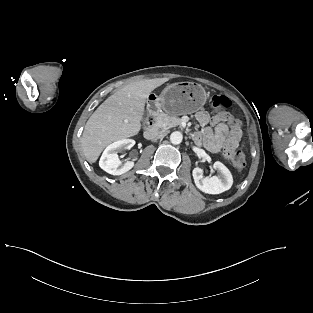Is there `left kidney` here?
I'll return each instance as SVG.
<instances>
[{"instance_id": "left-kidney-1", "label": "left kidney", "mask_w": 313, "mask_h": 313, "mask_svg": "<svg viewBox=\"0 0 313 313\" xmlns=\"http://www.w3.org/2000/svg\"><path fill=\"white\" fill-rule=\"evenodd\" d=\"M219 174L210 178H204L203 170L196 167L192 171L194 182L198 189L208 194H220L229 190L233 184V178L229 169L221 162L217 161L213 165Z\"/></svg>"}]
</instances>
